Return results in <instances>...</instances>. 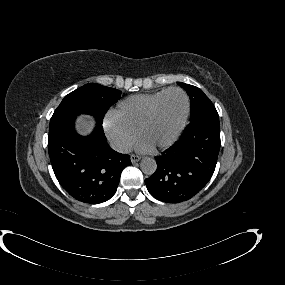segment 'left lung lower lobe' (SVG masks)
I'll use <instances>...</instances> for the list:
<instances>
[{"label": "left lung lower lobe", "mask_w": 285, "mask_h": 285, "mask_svg": "<svg viewBox=\"0 0 285 285\" xmlns=\"http://www.w3.org/2000/svg\"><path fill=\"white\" fill-rule=\"evenodd\" d=\"M220 150V124L216 109L190 120L179 141L155 157L156 172L145 179L156 199L179 203L195 196L212 177Z\"/></svg>", "instance_id": "1"}]
</instances>
